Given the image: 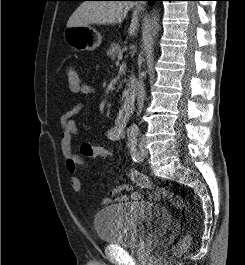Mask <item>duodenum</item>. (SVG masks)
<instances>
[{
	"label": "duodenum",
	"instance_id": "410a0bca",
	"mask_svg": "<svg viewBox=\"0 0 245 265\" xmlns=\"http://www.w3.org/2000/svg\"><path fill=\"white\" fill-rule=\"evenodd\" d=\"M138 93V83L135 77L130 76L128 86L123 91V98L127 105H133Z\"/></svg>",
	"mask_w": 245,
	"mask_h": 265
}]
</instances>
